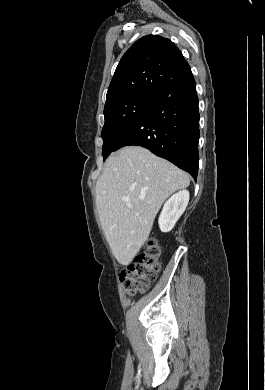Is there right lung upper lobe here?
Listing matches in <instances>:
<instances>
[{
    "instance_id": "cb5924a9",
    "label": "right lung upper lobe",
    "mask_w": 265,
    "mask_h": 390,
    "mask_svg": "<svg viewBox=\"0 0 265 390\" xmlns=\"http://www.w3.org/2000/svg\"><path fill=\"white\" fill-rule=\"evenodd\" d=\"M190 70L171 40L158 35L144 36L121 58L108 88L105 107L137 94L157 96Z\"/></svg>"
}]
</instances>
